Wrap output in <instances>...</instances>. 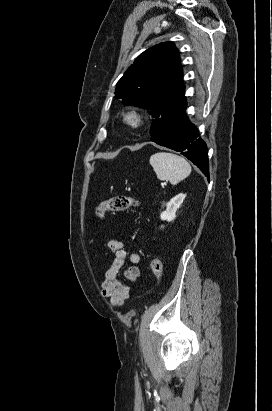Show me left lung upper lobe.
<instances>
[{
    "label": "left lung upper lobe",
    "instance_id": "obj_1",
    "mask_svg": "<svg viewBox=\"0 0 272 411\" xmlns=\"http://www.w3.org/2000/svg\"><path fill=\"white\" fill-rule=\"evenodd\" d=\"M178 54L172 42L149 48L116 85L115 97L125 105L151 110L154 117L151 135L187 104Z\"/></svg>",
    "mask_w": 272,
    "mask_h": 411
}]
</instances>
